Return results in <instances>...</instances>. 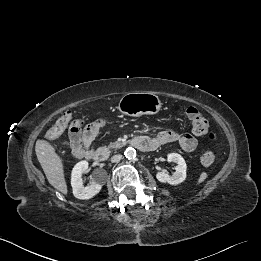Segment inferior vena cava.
Here are the masks:
<instances>
[{
    "instance_id": "inferior-vena-cava-1",
    "label": "inferior vena cava",
    "mask_w": 261,
    "mask_h": 261,
    "mask_svg": "<svg viewBox=\"0 0 261 261\" xmlns=\"http://www.w3.org/2000/svg\"><path fill=\"white\" fill-rule=\"evenodd\" d=\"M121 159H122V155L117 154V155H114V156L111 157V162H112V163H117V162H119Z\"/></svg>"
}]
</instances>
